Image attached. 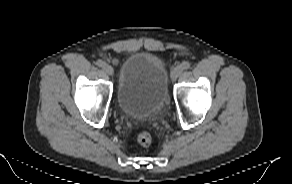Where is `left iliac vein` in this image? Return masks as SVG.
Masks as SVG:
<instances>
[{"instance_id": "left-iliac-vein-1", "label": "left iliac vein", "mask_w": 292, "mask_h": 184, "mask_svg": "<svg viewBox=\"0 0 292 184\" xmlns=\"http://www.w3.org/2000/svg\"><path fill=\"white\" fill-rule=\"evenodd\" d=\"M181 73H182V69H181V67H180V66H179V67H175V68L171 71V75H170L171 80H172V81H175V80L180 76Z\"/></svg>"}]
</instances>
